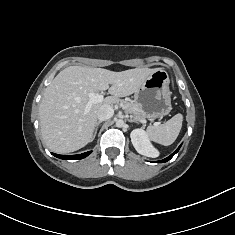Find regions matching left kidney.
I'll list each match as a JSON object with an SVG mask.
<instances>
[{
  "label": "left kidney",
  "mask_w": 235,
  "mask_h": 235,
  "mask_svg": "<svg viewBox=\"0 0 235 235\" xmlns=\"http://www.w3.org/2000/svg\"><path fill=\"white\" fill-rule=\"evenodd\" d=\"M131 142L136 151L144 156L156 158L159 156L157 149L151 144L147 133L142 129H134L131 134Z\"/></svg>",
  "instance_id": "1"
}]
</instances>
